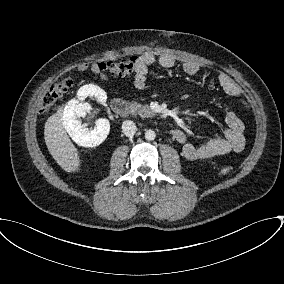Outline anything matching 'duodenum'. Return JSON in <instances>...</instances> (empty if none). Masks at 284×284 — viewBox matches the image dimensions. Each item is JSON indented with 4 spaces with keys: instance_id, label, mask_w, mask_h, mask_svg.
<instances>
[{
    "instance_id": "410a0bca",
    "label": "duodenum",
    "mask_w": 284,
    "mask_h": 284,
    "mask_svg": "<svg viewBox=\"0 0 284 284\" xmlns=\"http://www.w3.org/2000/svg\"><path fill=\"white\" fill-rule=\"evenodd\" d=\"M111 109L113 112L121 117H126L129 115L130 109L128 104L122 99L115 98L111 102ZM171 135H175V130L171 131Z\"/></svg>"
}]
</instances>
